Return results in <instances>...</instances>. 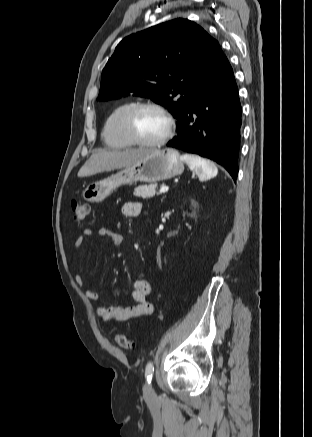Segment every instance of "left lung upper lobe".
Segmentation results:
<instances>
[{"label":"left lung upper lobe","mask_w":312,"mask_h":437,"mask_svg":"<svg viewBox=\"0 0 312 437\" xmlns=\"http://www.w3.org/2000/svg\"><path fill=\"white\" fill-rule=\"evenodd\" d=\"M223 57L218 42L196 23L182 18L161 23L118 44L102 71L97 101L148 97L179 121Z\"/></svg>","instance_id":"1"}]
</instances>
